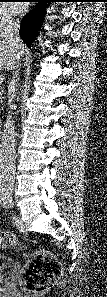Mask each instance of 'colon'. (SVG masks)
Segmentation results:
<instances>
[{
    "label": "colon",
    "instance_id": "5ec220e1",
    "mask_svg": "<svg viewBox=\"0 0 107 297\" xmlns=\"http://www.w3.org/2000/svg\"><path fill=\"white\" fill-rule=\"evenodd\" d=\"M15 245L14 235L1 232L0 246L3 248ZM60 265L54 256L44 250L31 254L22 278L23 288L33 294L46 292L60 275Z\"/></svg>",
    "mask_w": 107,
    "mask_h": 297
}]
</instances>
